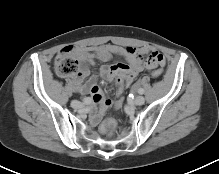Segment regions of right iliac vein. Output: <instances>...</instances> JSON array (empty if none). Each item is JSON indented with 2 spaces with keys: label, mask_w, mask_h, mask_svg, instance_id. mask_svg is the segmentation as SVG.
I'll use <instances>...</instances> for the list:
<instances>
[{
  "label": "right iliac vein",
  "mask_w": 219,
  "mask_h": 174,
  "mask_svg": "<svg viewBox=\"0 0 219 174\" xmlns=\"http://www.w3.org/2000/svg\"><path fill=\"white\" fill-rule=\"evenodd\" d=\"M71 106H72L73 108H75V109H81V108H83V104H82L81 102H79V101H76V100H73V101L71 102Z\"/></svg>",
  "instance_id": "obj_1"
}]
</instances>
